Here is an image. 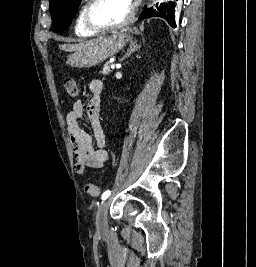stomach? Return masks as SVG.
Listing matches in <instances>:
<instances>
[{
  "label": "stomach",
  "instance_id": "obj_1",
  "mask_svg": "<svg viewBox=\"0 0 256 267\" xmlns=\"http://www.w3.org/2000/svg\"><path fill=\"white\" fill-rule=\"evenodd\" d=\"M130 38V34L124 32V30L115 32L111 36H104L98 44H90L82 52H75V54L68 56L67 64H71L75 68H91V66H97V64H101L107 58L118 54L119 50H122Z\"/></svg>",
  "mask_w": 256,
  "mask_h": 267
}]
</instances>
